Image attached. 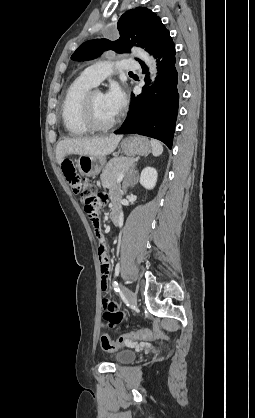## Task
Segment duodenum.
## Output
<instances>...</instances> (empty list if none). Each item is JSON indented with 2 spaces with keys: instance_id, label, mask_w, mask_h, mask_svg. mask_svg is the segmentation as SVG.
<instances>
[{
  "instance_id": "duodenum-1",
  "label": "duodenum",
  "mask_w": 255,
  "mask_h": 418,
  "mask_svg": "<svg viewBox=\"0 0 255 418\" xmlns=\"http://www.w3.org/2000/svg\"><path fill=\"white\" fill-rule=\"evenodd\" d=\"M120 218V209L118 206H114L111 211V219L114 224H118Z\"/></svg>"
}]
</instances>
